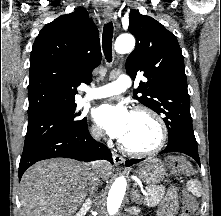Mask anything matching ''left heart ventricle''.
I'll list each match as a JSON object with an SVG mask.
<instances>
[{
    "label": "left heart ventricle",
    "instance_id": "1",
    "mask_svg": "<svg viewBox=\"0 0 221 216\" xmlns=\"http://www.w3.org/2000/svg\"><path fill=\"white\" fill-rule=\"evenodd\" d=\"M159 139L155 121L145 114H133L129 129L122 141L134 149L153 147Z\"/></svg>",
    "mask_w": 221,
    "mask_h": 216
}]
</instances>
